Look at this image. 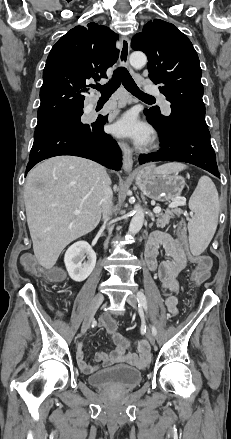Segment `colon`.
I'll return each mask as SVG.
<instances>
[{
	"label": "colon",
	"mask_w": 231,
	"mask_h": 439,
	"mask_svg": "<svg viewBox=\"0 0 231 439\" xmlns=\"http://www.w3.org/2000/svg\"><path fill=\"white\" fill-rule=\"evenodd\" d=\"M178 233L181 237L182 241L187 244L186 241V225L184 222H180L178 225ZM192 260L195 264V270L193 273V283L196 285V288H199V285H205L209 280V272L212 267V260L207 255H198L193 256ZM24 268L29 271L31 274L36 276H42L52 282H60L64 279L65 274L61 268H52L50 270H43L40 266L37 265L35 260L32 257H25L23 259ZM186 305H192V301L195 300V295H186Z\"/></svg>",
	"instance_id": "5ec220e1"
}]
</instances>
